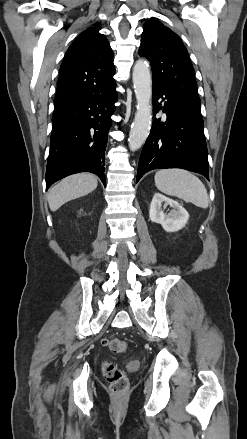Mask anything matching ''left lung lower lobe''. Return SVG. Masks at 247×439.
<instances>
[{
    "instance_id": "obj_1",
    "label": "left lung lower lobe",
    "mask_w": 247,
    "mask_h": 439,
    "mask_svg": "<svg viewBox=\"0 0 247 439\" xmlns=\"http://www.w3.org/2000/svg\"><path fill=\"white\" fill-rule=\"evenodd\" d=\"M152 92L154 115L163 108L167 120L162 123L160 119L153 118L150 135L140 156L136 182L146 172L163 168H182L208 179V153L201 108L157 86H153ZM160 99L164 101V107L159 104Z\"/></svg>"
}]
</instances>
